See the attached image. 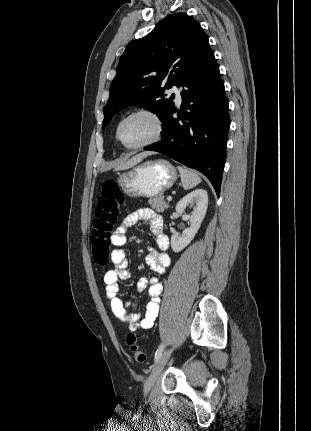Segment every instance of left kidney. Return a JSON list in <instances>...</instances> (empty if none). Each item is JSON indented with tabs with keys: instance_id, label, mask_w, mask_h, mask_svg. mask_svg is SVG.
I'll return each mask as SVG.
<instances>
[{
	"instance_id": "1",
	"label": "left kidney",
	"mask_w": 311,
	"mask_h": 431,
	"mask_svg": "<svg viewBox=\"0 0 311 431\" xmlns=\"http://www.w3.org/2000/svg\"><path fill=\"white\" fill-rule=\"evenodd\" d=\"M186 208H193V212L185 214ZM208 208V196L206 190H194L184 196L178 202L175 210L182 219H189L191 225L183 229L181 235H171V247L173 251H181L196 235Z\"/></svg>"
}]
</instances>
